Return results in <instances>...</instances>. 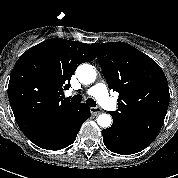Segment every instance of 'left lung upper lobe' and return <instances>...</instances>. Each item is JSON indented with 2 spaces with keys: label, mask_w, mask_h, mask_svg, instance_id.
I'll return each mask as SVG.
<instances>
[{
  "label": "left lung upper lobe",
  "mask_w": 178,
  "mask_h": 178,
  "mask_svg": "<svg viewBox=\"0 0 178 178\" xmlns=\"http://www.w3.org/2000/svg\"><path fill=\"white\" fill-rule=\"evenodd\" d=\"M92 46L109 89L119 93L118 109L109 112L113 122L154 140L170 101L168 82L161 67L124 42Z\"/></svg>",
  "instance_id": "1"
}]
</instances>
